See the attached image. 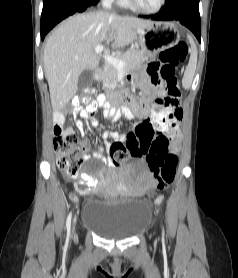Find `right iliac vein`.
Instances as JSON below:
<instances>
[{"instance_id": "63e3f726", "label": "right iliac vein", "mask_w": 238, "mask_h": 278, "mask_svg": "<svg viewBox=\"0 0 238 278\" xmlns=\"http://www.w3.org/2000/svg\"><path fill=\"white\" fill-rule=\"evenodd\" d=\"M72 233H74V226H73V229H72Z\"/></svg>"}]
</instances>
